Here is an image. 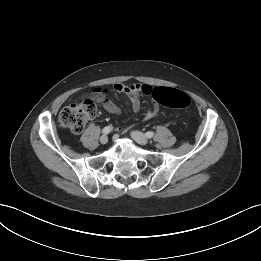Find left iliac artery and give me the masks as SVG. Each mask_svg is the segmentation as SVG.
I'll return each mask as SVG.
<instances>
[{
    "mask_svg": "<svg viewBox=\"0 0 261 261\" xmlns=\"http://www.w3.org/2000/svg\"><path fill=\"white\" fill-rule=\"evenodd\" d=\"M145 135H146L147 138H152L154 136V132L148 131V132H146Z\"/></svg>",
    "mask_w": 261,
    "mask_h": 261,
    "instance_id": "obj_1",
    "label": "left iliac artery"
}]
</instances>
